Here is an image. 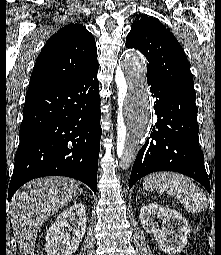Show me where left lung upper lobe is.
Listing matches in <instances>:
<instances>
[{
	"label": "left lung upper lobe",
	"mask_w": 221,
	"mask_h": 255,
	"mask_svg": "<svg viewBox=\"0 0 221 255\" xmlns=\"http://www.w3.org/2000/svg\"><path fill=\"white\" fill-rule=\"evenodd\" d=\"M125 46L138 49L146 57L147 82L160 84L195 99L193 77L184 50L158 19L137 16Z\"/></svg>",
	"instance_id": "1"
}]
</instances>
